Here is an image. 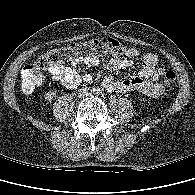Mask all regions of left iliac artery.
I'll list each match as a JSON object with an SVG mask.
<instances>
[{
	"instance_id": "1",
	"label": "left iliac artery",
	"mask_w": 195,
	"mask_h": 195,
	"mask_svg": "<svg viewBox=\"0 0 195 195\" xmlns=\"http://www.w3.org/2000/svg\"><path fill=\"white\" fill-rule=\"evenodd\" d=\"M97 93H98V94H102V90L98 89V90H97Z\"/></svg>"
}]
</instances>
